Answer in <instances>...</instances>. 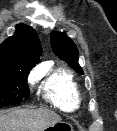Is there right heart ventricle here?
Instances as JSON below:
<instances>
[{
    "mask_svg": "<svg viewBox=\"0 0 117 131\" xmlns=\"http://www.w3.org/2000/svg\"><path fill=\"white\" fill-rule=\"evenodd\" d=\"M43 90L45 98L63 110L76 109L82 100L79 83L64 67H58L48 75Z\"/></svg>",
    "mask_w": 117,
    "mask_h": 131,
    "instance_id": "obj_1",
    "label": "right heart ventricle"
}]
</instances>
